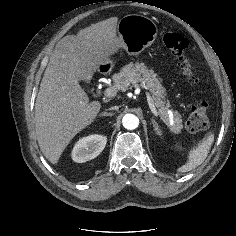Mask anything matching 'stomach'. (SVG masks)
Wrapping results in <instances>:
<instances>
[{
	"label": "stomach",
	"mask_w": 236,
	"mask_h": 236,
	"mask_svg": "<svg viewBox=\"0 0 236 236\" xmlns=\"http://www.w3.org/2000/svg\"><path fill=\"white\" fill-rule=\"evenodd\" d=\"M118 43L113 49L123 48L129 55L137 56L155 41L158 29L148 17L130 14L120 19L117 25Z\"/></svg>",
	"instance_id": "0dacf381"
}]
</instances>
